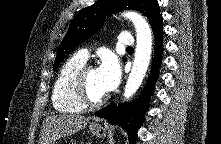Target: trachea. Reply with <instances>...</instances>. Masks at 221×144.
I'll use <instances>...</instances> for the list:
<instances>
[{"label": "trachea", "mask_w": 221, "mask_h": 144, "mask_svg": "<svg viewBox=\"0 0 221 144\" xmlns=\"http://www.w3.org/2000/svg\"><path fill=\"white\" fill-rule=\"evenodd\" d=\"M127 50H133V48L132 47H127Z\"/></svg>", "instance_id": "trachea-1"}]
</instances>
